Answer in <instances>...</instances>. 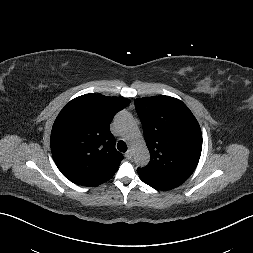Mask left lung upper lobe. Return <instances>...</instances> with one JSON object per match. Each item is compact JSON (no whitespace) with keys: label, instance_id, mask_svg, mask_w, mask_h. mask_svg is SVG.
Segmentation results:
<instances>
[{"label":"left lung upper lobe","instance_id":"obj_1","mask_svg":"<svg viewBox=\"0 0 253 253\" xmlns=\"http://www.w3.org/2000/svg\"><path fill=\"white\" fill-rule=\"evenodd\" d=\"M150 162L137 172L141 179L176 186L195 170L202 150L200 126L190 109L169 96L137 98Z\"/></svg>","mask_w":253,"mask_h":253}]
</instances>
